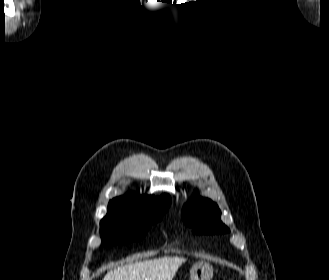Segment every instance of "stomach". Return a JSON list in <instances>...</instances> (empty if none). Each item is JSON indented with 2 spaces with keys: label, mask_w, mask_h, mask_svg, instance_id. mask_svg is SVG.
Returning a JSON list of instances; mask_svg holds the SVG:
<instances>
[{
  "label": "stomach",
  "mask_w": 329,
  "mask_h": 280,
  "mask_svg": "<svg viewBox=\"0 0 329 280\" xmlns=\"http://www.w3.org/2000/svg\"><path fill=\"white\" fill-rule=\"evenodd\" d=\"M213 268L209 263L199 261L190 269V280H211Z\"/></svg>",
  "instance_id": "1"
}]
</instances>
